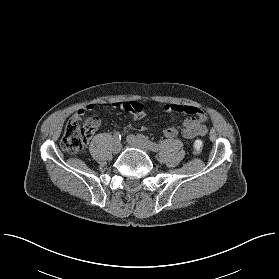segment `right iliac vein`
<instances>
[{
  "label": "right iliac vein",
  "instance_id": "right-iliac-vein-1",
  "mask_svg": "<svg viewBox=\"0 0 279 279\" xmlns=\"http://www.w3.org/2000/svg\"><path fill=\"white\" fill-rule=\"evenodd\" d=\"M122 149V145L120 142L114 143L113 147H112V151L114 153H119Z\"/></svg>",
  "mask_w": 279,
  "mask_h": 279
}]
</instances>
